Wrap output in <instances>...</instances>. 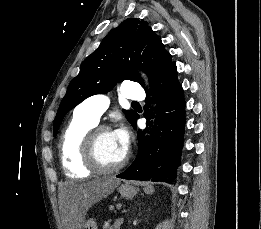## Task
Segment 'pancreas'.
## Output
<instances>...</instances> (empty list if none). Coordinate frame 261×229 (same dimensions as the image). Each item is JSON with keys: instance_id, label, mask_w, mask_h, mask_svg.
<instances>
[{"instance_id": "cf45deb5", "label": "pancreas", "mask_w": 261, "mask_h": 229, "mask_svg": "<svg viewBox=\"0 0 261 229\" xmlns=\"http://www.w3.org/2000/svg\"><path fill=\"white\" fill-rule=\"evenodd\" d=\"M115 224H116V221H115V223H113L112 227H106V225H104L103 229H120V225H118V227H115Z\"/></svg>"}]
</instances>
